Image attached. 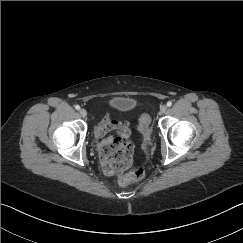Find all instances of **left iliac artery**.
Here are the masks:
<instances>
[{"instance_id": "44dca946", "label": "left iliac artery", "mask_w": 243, "mask_h": 243, "mask_svg": "<svg viewBox=\"0 0 243 243\" xmlns=\"http://www.w3.org/2000/svg\"><path fill=\"white\" fill-rule=\"evenodd\" d=\"M167 106H168V107H171V106H172V102H171V101H168V102H167Z\"/></svg>"}]
</instances>
